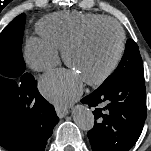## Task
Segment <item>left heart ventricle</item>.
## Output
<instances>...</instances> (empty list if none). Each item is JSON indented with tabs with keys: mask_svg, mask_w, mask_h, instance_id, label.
<instances>
[{
	"mask_svg": "<svg viewBox=\"0 0 151 151\" xmlns=\"http://www.w3.org/2000/svg\"><path fill=\"white\" fill-rule=\"evenodd\" d=\"M117 49V30L113 25H102L93 30L81 45L70 51V67L82 80H90L108 68Z\"/></svg>",
	"mask_w": 151,
	"mask_h": 151,
	"instance_id": "left-heart-ventricle-1",
	"label": "left heart ventricle"
}]
</instances>
